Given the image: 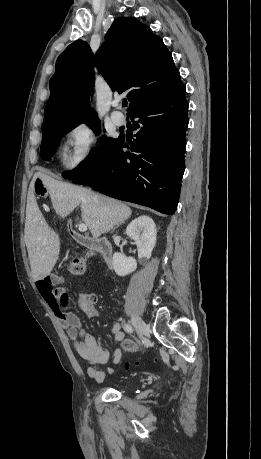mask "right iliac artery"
Masks as SVG:
<instances>
[{
	"label": "right iliac artery",
	"mask_w": 261,
	"mask_h": 459,
	"mask_svg": "<svg viewBox=\"0 0 261 459\" xmlns=\"http://www.w3.org/2000/svg\"><path fill=\"white\" fill-rule=\"evenodd\" d=\"M124 329L127 333L133 332V327L130 324H125Z\"/></svg>",
	"instance_id": "right-iliac-artery-1"
}]
</instances>
